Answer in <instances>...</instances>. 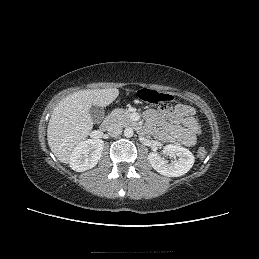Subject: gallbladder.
<instances>
[{
	"mask_svg": "<svg viewBox=\"0 0 259 259\" xmlns=\"http://www.w3.org/2000/svg\"><path fill=\"white\" fill-rule=\"evenodd\" d=\"M92 121L96 124L100 123L104 118V109L97 105H92L89 109Z\"/></svg>",
	"mask_w": 259,
	"mask_h": 259,
	"instance_id": "gallbladder-1",
	"label": "gallbladder"
}]
</instances>
